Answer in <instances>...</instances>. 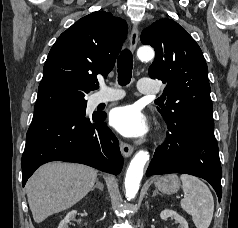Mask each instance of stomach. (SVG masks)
<instances>
[{"label": "stomach", "instance_id": "0dacf381", "mask_svg": "<svg viewBox=\"0 0 238 228\" xmlns=\"http://www.w3.org/2000/svg\"><path fill=\"white\" fill-rule=\"evenodd\" d=\"M155 186L166 194L176 193L180 188V181L175 174L158 176L155 178Z\"/></svg>", "mask_w": 238, "mask_h": 228}]
</instances>
